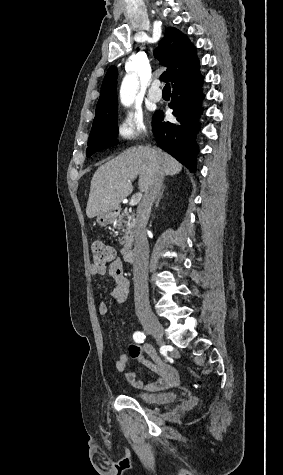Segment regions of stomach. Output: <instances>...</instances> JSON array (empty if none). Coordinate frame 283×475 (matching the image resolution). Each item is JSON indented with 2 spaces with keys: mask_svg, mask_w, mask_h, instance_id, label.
<instances>
[{
  "mask_svg": "<svg viewBox=\"0 0 283 475\" xmlns=\"http://www.w3.org/2000/svg\"><path fill=\"white\" fill-rule=\"evenodd\" d=\"M116 218L117 212H115V210H108V212H102V214H98L96 222L99 224V226H108V224H113Z\"/></svg>",
  "mask_w": 283,
  "mask_h": 475,
  "instance_id": "stomach-1",
  "label": "stomach"
}]
</instances>
